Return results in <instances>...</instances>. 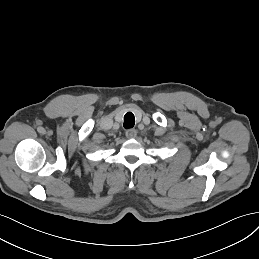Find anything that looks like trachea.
<instances>
[{"label":"trachea","instance_id":"trachea-1","mask_svg":"<svg viewBox=\"0 0 259 259\" xmlns=\"http://www.w3.org/2000/svg\"><path fill=\"white\" fill-rule=\"evenodd\" d=\"M135 125V117L133 113L128 112L124 116V128L129 129Z\"/></svg>","mask_w":259,"mask_h":259}]
</instances>
